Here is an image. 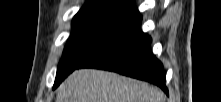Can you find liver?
Returning a JSON list of instances; mask_svg holds the SVG:
<instances>
[{
  "mask_svg": "<svg viewBox=\"0 0 221 102\" xmlns=\"http://www.w3.org/2000/svg\"><path fill=\"white\" fill-rule=\"evenodd\" d=\"M145 82L94 69L74 71L58 89L56 102H164Z\"/></svg>",
  "mask_w": 221,
  "mask_h": 102,
  "instance_id": "obj_1",
  "label": "liver"
}]
</instances>
